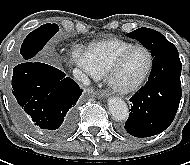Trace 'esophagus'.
Segmentation results:
<instances>
[{"mask_svg":"<svg viewBox=\"0 0 190 165\" xmlns=\"http://www.w3.org/2000/svg\"><path fill=\"white\" fill-rule=\"evenodd\" d=\"M110 95L109 91L108 90H101L99 92V96L102 97V98H106Z\"/></svg>","mask_w":190,"mask_h":165,"instance_id":"1","label":"esophagus"}]
</instances>
